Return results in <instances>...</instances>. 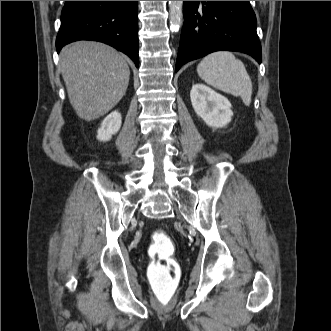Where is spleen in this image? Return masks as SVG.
Here are the masks:
<instances>
[{"instance_id":"1","label":"spleen","mask_w":331,"mask_h":331,"mask_svg":"<svg viewBox=\"0 0 331 331\" xmlns=\"http://www.w3.org/2000/svg\"><path fill=\"white\" fill-rule=\"evenodd\" d=\"M198 75L216 89L240 96L246 106L251 103L252 82L244 64L228 51L213 52L197 66Z\"/></svg>"}]
</instances>
